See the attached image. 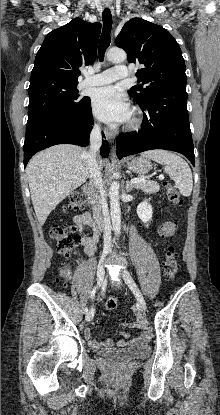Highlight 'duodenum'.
I'll return each instance as SVG.
<instances>
[{"mask_svg": "<svg viewBox=\"0 0 220 415\" xmlns=\"http://www.w3.org/2000/svg\"><path fill=\"white\" fill-rule=\"evenodd\" d=\"M84 192L86 193V195L88 196L90 200V204L93 209V216H94L95 224L98 228H100L104 223V218H103L102 210L97 206L96 201L94 199L95 187L93 185H87L84 187Z\"/></svg>", "mask_w": 220, "mask_h": 415, "instance_id": "obj_1", "label": "duodenum"}]
</instances>
